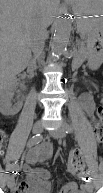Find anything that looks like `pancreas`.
Wrapping results in <instances>:
<instances>
[{"mask_svg":"<svg viewBox=\"0 0 103 193\" xmlns=\"http://www.w3.org/2000/svg\"><path fill=\"white\" fill-rule=\"evenodd\" d=\"M79 26H88V23L85 21H79ZM77 46H78V54L84 57L86 55V48L84 46V41L83 40L78 41Z\"/></svg>","mask_w":103,"mask_h":193,"instance_id":"cf45deb5","label":"pancreas"}]
</instances>
